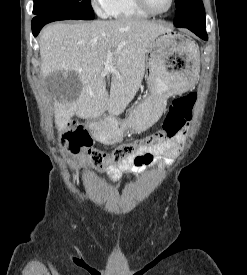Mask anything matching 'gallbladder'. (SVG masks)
Listing matches in <instances>:
<instances>
[{"label":"gallbladder","mask_w":247,"mask_h":275,"mask_svg":"<svg viewBox=\"0 0 247 275\" xmlns=\"http://www.w3.org/2000/svg\"><path fill=\"white\" fill-rule=\"evenodd\" d=\"M48 87L56 94L58 99H64L71 93L77 94L80 81L76 74L57 71L46 78Z\"/></svg>","instance_id":"1"}]
</instances>
